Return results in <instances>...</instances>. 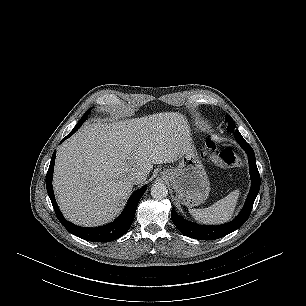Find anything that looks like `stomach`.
<instances>
[{"label": "stomach", "instance_id": "obj_1", "mask_svg": "<svg viewBox=\"0 0 306 306\" xmlns=\"http://www.w3.org/2000/svg\"><path fill=\"white\" fill-rule=\"evenodd\" d=\"M161 174L171 183L179 202L189 208L200 205L209 195L207 173L191 144L181 151L178 166L164 170Z\"/></svg>", "mask_w": 306, "mask_h": 306}]
</instances>
